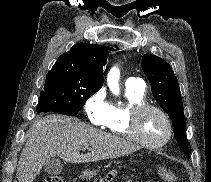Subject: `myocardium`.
Wrapping results in <instances>:
<instances>
[{"label": "myocardium", "instance_id": "obj_1", "mask_svg": "<svg viewBox=\"0 0 211 182\" xmlns=\"http://www.w3.org/2000/svg\"><path fill=\"white\" fill-rule=\"evenodd\" d=\"M148 110H155L156 112H158L164 119L166 126H167V132H166L165 137L157 143L147 142L144 139H142L139 134V130H138L139 118L144 112H146ZM128 132H129L131 138L134 141H136L138 144H140L141 146L157 149V148L163 147L170 141L172 134H173V125H172V121H171L170 117L168 116V114L160 106L151 104V103H147V102H143V103L134 105L130 109L129 115H128Z\"/></svg>", "mask_w": 211, "mask_h": 182}]
</instances>
